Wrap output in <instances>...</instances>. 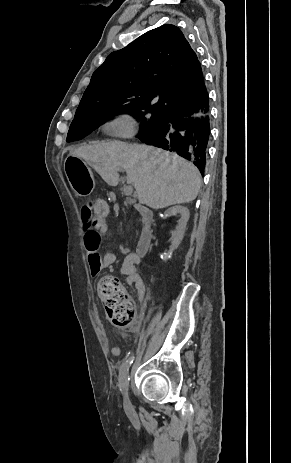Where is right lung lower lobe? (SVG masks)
<instances>
[{
  "label": "right lung lower lobe",
  "mask_w": 291,
  "mask_h": 463,
  "mask_svg": "<svg viewBox=\"0 0 291 463\" xmlns=\"http://www.w3.org/2000/svg\"><path fill=\"white\" fill-rule=\"evenodd\" d=\"M203 86L206 88L204 80ZM209 112L207 93L203 101L194 108H175L165 112L157 127L138 137L148 145L173 151L191 161L203 175L211 131Z\"/></svg>",
  "instance_id": "right-lung-lower-lobe-1"
}]
</instances>
